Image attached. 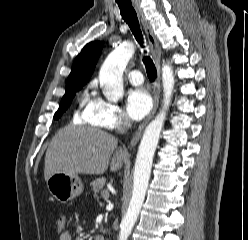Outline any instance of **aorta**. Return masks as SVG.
<instances>
[{
	"label": "aorta",
	"instance_id": "762f6f07",
	"mask_svg": "<svg viewBox=\"0 0 248 240\" xmlns=\"http://www.w3.org/2000/svg\"><path fill=\"white\" fill-rule=\"evenodd\" d=\"M134 52L135 47L132 43H124L112 51L104 61L99 72V80L103 94L108 100L116 102L123 97V71ZM162 81L163 106L160 113L146 127L140 142L135 162L132 197L120 224L118 240L128 239L145 199L154 153L175 84L173 70L169 65H164L162 68Z\"/></svg>",
	"mask_w": 248,
	"mask_h": 240
}]
</instances>
